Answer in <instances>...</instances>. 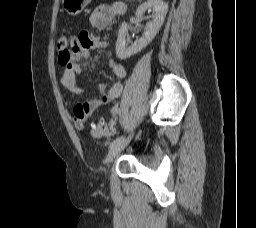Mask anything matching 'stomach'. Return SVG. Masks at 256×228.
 I'll list each match as a JSON object with an SVG mask.
<instances>
[{
  "instance_id": "1",
  "label": "stomach",
  "mask_w": 256,
  "mask_h": 228,
  "mask_svg": "<svg viewBox=\"0 0 256 228\" xmlns=\"http://www.w3.org/2000/svg\"><path fill=\"white\" fill-rule=\"evenodd\" d=\"M91 2V0H62V6L69 15L76 16Z\"/></svg>"
}]
</instances>
